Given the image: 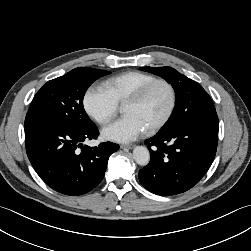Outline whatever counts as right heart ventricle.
Returning <instances> with one entry per match:
<instances>
[{"label":"right heart ventricle","instance_id":"right-heart-ventricle-1","mask_svg":"<svg viewBox=\"0 0 251 251\" xmlns=\"http://www.w3.org/2000/svg\"><path fill=\"white\" fill-rule=\"evenodd\" d=\"M156 79L149 73L127 71L108 79L105 87L118 105H124L141 87Z\"/></svg>","mask_w":251,"mask_h":251}]
</instances>
